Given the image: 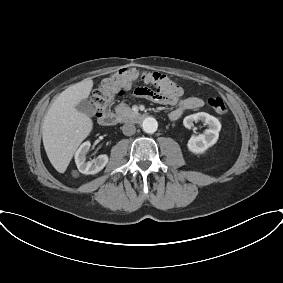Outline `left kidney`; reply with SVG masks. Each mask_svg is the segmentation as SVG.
<instances>
[{"mask_svg": "<svg viewBox=\"0 0 283 283\" xmlns=\"http://www.w3.org/2000/svg\"><path fill=\"white\" fill-rule=\"evenodd\" d=\"M198 120L205 122L209 128L204 134L192 136L189 139L187 147L188 150L194 154H201L209 147L213 146L217 142L221 130L219 120L205 112L186 116L183 120V124L186 128L190 129L193 126V122Z\"/></svg>", "mask_w": 283, "mask_h": 283, "instance_id": "left-kidney-1", "label": "left kidney"}]
</instances>
